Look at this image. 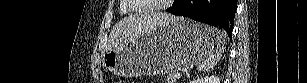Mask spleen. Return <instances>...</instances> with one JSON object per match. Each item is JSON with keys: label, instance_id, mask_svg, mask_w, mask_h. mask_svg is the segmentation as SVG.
I'll return each instance as SVG.
<instances>
[{"label": "spleen", "instance_id": "1", "mask_svg": "<svg viewBox=\"0 0 307 83\" xmlns=\"http://www.w3.org/2000/svg\"><path fill=\"white\" fill-rule=\"evenodd\" d=\"M212 29L214 30L215 47L211 48L207 56L202 60V63L199 66L200 71L212 70L221 60L224 52V41L226 39V34L215 28Z\"/></svg>", "mask_w": 307, "mask_h": 83}]
</instances>
